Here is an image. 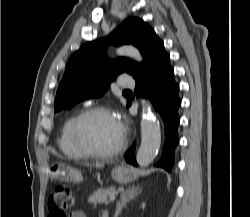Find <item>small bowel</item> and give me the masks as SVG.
I'll return each instance as SVG.
<instances>
[{"label": "small bowel", "mask_w": 250, "mask_h": 217, "mask_svg": "<svg viewBox=\"0 0 250 217\" xmlns=\"http://www.w3.org/2000/svg\"><path fill=\"white\" fill-rule=\"evenodd\" d=\"M70 217H86V214L81 210H76V211L72 212Z\"/></svg>", "instance_id": "obj_1"}]
</instances>
